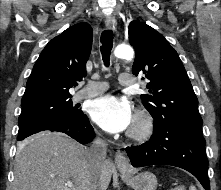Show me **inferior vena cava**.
Returning <instances> with one entry per match:
<instances>
[{
	"label": "inferior vena cava",
	"instance_id": "602c4592",
	"mask_svg": "<svg viewBox=\"0 0 221 190\" xmlns=\"http://www.w3.org/2000/svg\"><path fill=\"white\" fill-rule=\"evenodd\" d=\"M86 154L90 164L97 170H100L102 165L106 161L107 147L104 141L100 138H96L90 148L86 150ZM91 190H100V187L95 184L91 187Z\"/></svg>",
	"mask_w": 221,
	"mask_h": 190
}]
</instances>
